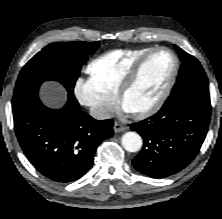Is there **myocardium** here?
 <instances>
[{"instance_id":"obj_1","label":"myocardium","mask_w":222,"mask_h":219,"mask_svg":"<svg viewBox=\"0 0 222 219\" xmlns=\"http://www.w3.org/2000/svg\"><path fill=\"white\" fill-rule=\"evenodd\" d=\"M161 51L168 52L173 57V67H172L170 76H169L161 94L159 95V97L156 99V101L152 105H150L149 107H147L145 109L131 112L132 115L137 119L147 118V117L155 114L157 111L160 110V108L163 106V104L167 100V98L170 95V92L175 84V81H176V78H177V75L179 72V68H180V63H179V59H178L177 54L172 49H170L168 47H164V46L154 47V48L150 49L149 51H147L146 53L141 55L134 62V64L131 66L129 71L124 75V77L122 78V80L119 84V87H118V90L116 93V98L120 104L124 105L125 96L132 89V87L135 85V83L139 77V74L141 72V69H142L143 65L145 64V62L153 54H155L157 52H161Z\"/></svg>"}]
</instances>
